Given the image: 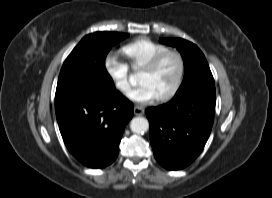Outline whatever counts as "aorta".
Instances as JSON below:
<instances>
[{
	"label": "aorta",
	"mask_w": 272,
	"mask_h": 198,
	"mask_svg": "<svg viewBox=\"0 0 272 198\" xmlns=\"http://www.w3.org/2000/svg\"><path fill=\"white\" fill-rule=\"evenodd\" d=\"M130 129L137 134H143L149 129V122L144 117H135L130 122Z\"/></svg>",
	"instance_id": "obj_1"
}]
</instances>
